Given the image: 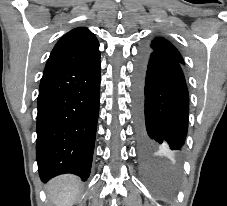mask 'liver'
Wrapping results in <instances>:
<instances>
[{
	"label": "liver",
	"instance_id": "6515ba94",
	"mask_svg": "<svg viewBox=\"0 0 227 206\" xmlns=\"http://www.w3.org/2000/svg\"><path fill=\"white\" fill-rule=\"evenodd\" d=\"M80 182L73 175H62L51 180L46 187L55 206H72L80 194Z\"/></svg>",
	"mask_w": 227,
	"mask_h": 206
}]
</instances>
